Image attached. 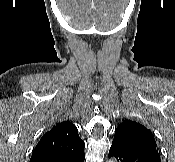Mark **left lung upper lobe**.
Listing matches in <instances>:
<instances>
[{"instance_id":"5c2ea615","label":"left lung upper lobe","mask_w":175,"mask_h":162,"mask_svg":"<svg viewBox=\"0 0 175 162\" xmlns=\"http://www.w3.org/2000/svg\"><path fill=\"white\" fill-rule=\"evenodd\" d=\"M128 146H153L156 142L152 133L143 125L124 120L115 130L114 139Z\"/></svg>"}]
</instances>
